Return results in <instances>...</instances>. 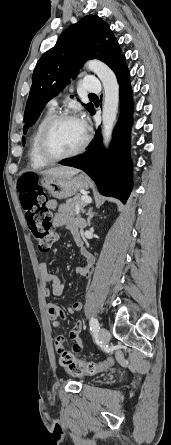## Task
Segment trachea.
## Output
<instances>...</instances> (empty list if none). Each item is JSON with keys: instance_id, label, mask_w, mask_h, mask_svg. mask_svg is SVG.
<instances>
[{"instance_id": "3493384b", "label": "trachea", "mask_w": 171, "mask_h": 445, "mask_svg": "<svg viewBox=\"0 0 171 445\" xmlns=\"http://www.w3.org/2000/svg\"><path fill=\"white\" fill-rule=\"evenodd\" d=\"M89 97H97L95 94H89Z\"/></svg>"}]
</instances>
